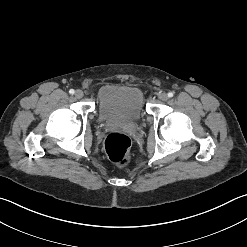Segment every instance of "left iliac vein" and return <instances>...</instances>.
<instances>
[{"label":"left iliac vein","instance_id":"left-iliac-vein-1","mask_svg":"<svg viewBox=\"0 0 247 247\" xmlns=\"http://www.w3.org/2000/svg\"><path fill=\"white\" fill-rule=\"evenodd\" d=\"M159 99L161 101H167L168 100V95L166 93H162L159 95Z\"/></svg>","mask_w":247,"mask_h":247}]
</instances>
